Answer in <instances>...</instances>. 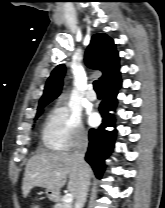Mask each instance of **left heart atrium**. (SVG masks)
I'll list each match as a JSON object with an SVG mask.
<instances>
[{
  "mask_svg": "<svg viewBox=\"0 0 165 208\" xmlns=\"http://www.w3.org/2000/svg\"><path fill=\"white\" fill-rule=\"evenodd\" d=\"M88 122H89L91 125H94V124L97 122V115L94 114V113L89 114Z\"/></svg>",
  "mask_w": 165,
  "mask_h": 208,
  "instance_id": "obj_1",
  "label": "left heart atrium"
}]
</instances>
